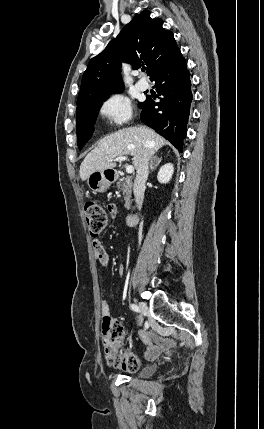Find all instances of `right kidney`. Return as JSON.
<instances>
[{"label":"right kidney","mask_w":264,"mask_h":429,"mask_svg":"<svg viewBox=\"0 0 264 429\" xmlns=\"http://www.w3.org/2000/svg\"><path fill=\"white\" fill-rule=\"evenodd\" d=\"M173 172H174L173 164L167 163L160 168L157 174V180L162 184H166L172 178Z\"/></svg>","instance_id":"1"}]
</instances>
